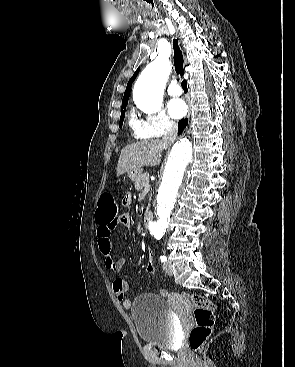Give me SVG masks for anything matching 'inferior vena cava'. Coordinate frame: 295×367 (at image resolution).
Listing matches in <instances>:
<instances>
[{"instance_id":"602c4592","label":"inferior vena cava","mask_w":295,"mask_h":367,"mask_svg":"<svg viewBox=\"0 0 295 367\" xmlns=\"http://www.w3.org/2000/svg\"><path fill=\"white\" fill-rule=\"evenodd\" d=\"M176 136H177V126L173 123L167 124L162 138L164 145L170 146L175 141Z\"/></svg>"}]
</instances>
